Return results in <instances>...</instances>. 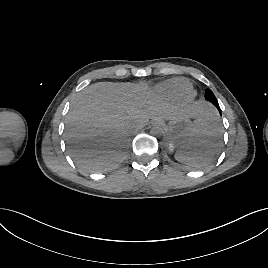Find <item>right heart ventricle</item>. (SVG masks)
Masks as SVG:
<instances>
[{
  "instance_id": "e07e8e85",
  "label": "right heart ventricle",
  "mask_w": 268,
  "mask_h": 268,
  "mask_svg": "<svg viewBox=\"0 0 268 268\" xmlns=\"http://www.w3.org/2000/svg\"><path fill=\"white\" fill-rule=\"evenodd\" d=\"M160 88L172 97H180L190 90L191 83L183 78H174L161 84Z\"/></svg>"
}]
</instances>
